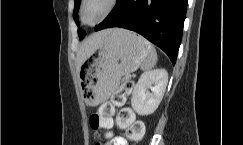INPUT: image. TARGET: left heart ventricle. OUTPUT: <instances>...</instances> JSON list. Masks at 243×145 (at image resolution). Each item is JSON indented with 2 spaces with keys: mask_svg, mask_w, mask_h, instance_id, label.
I'll return each instance as SVG.
<instances>
[{
  "mask_svg": "<svg viewBox=\"0 0 243 145\" xmlns=\"http://www.w3.org/2000/svg\"><path fill=\"white\" fill-rule=\"evenodd\" d=\"M107 0H89L84 9V20L88 23L95 21L104 11Z\"/></svg>",
  "mask_w": 243,
  "mask_h": 145,
  "instance_id": "obj_1",
  "label": "left heart ventricle"
}]
</instances>
